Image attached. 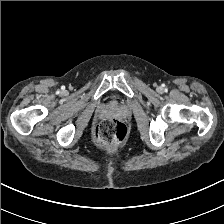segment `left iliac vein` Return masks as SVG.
Instances as JSON below:
<instances>
[{"label":"left iliac vein","mask_w":224,"mask_h":224,"mask_svg":"<svg viewBox=\"0 0 224 224\" xmlns=\"http://www.w3.org/2000/svg\"><path fill=\"white\" fill-rule=\"evenodd\" d=\"M158 90L162 91V88L161 87H158Z\"/></svg>","instance_id":"1"}]
</instances>
